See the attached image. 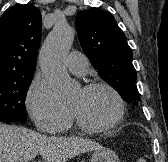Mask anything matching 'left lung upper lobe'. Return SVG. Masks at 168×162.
<instances>
[{"mask_svg": "<svg viewBox=\"0 0 168 162\" xmlns=\"http://www.w3.org/2000/svg\"><path fill=\"white\" fill-rule=\"evenodd\" d=\"M80 45L100 77L135 106L139 92L132 50L114 17L99 8L80 12L75 19Z\"/></svg>", "mask_w": 168, "mask_h": 162, "instance_id": "obj_1", "label": "left lung upper lobe"}]
</instances>
